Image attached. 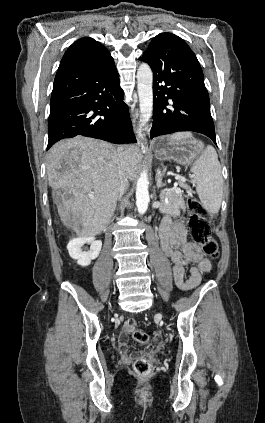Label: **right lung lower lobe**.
<instances>
[{
  "mask_svg": "<svg viewBox=\"0 0 265 423\" xmlns=\"http://www.w3.org/2000/svg\"><path fill=\"white\" fill-rule=\"evenodd\" d=\"M123 98L114 62L59 69L51 95L47 149L76 135L115 144L136 142Z\"/></svg>",
  "mask_w": 265,
  "mask_h": 423,
  "instance_id": "98d812e1",
  "label": "right lung lower lobe"
}]
</instances>
